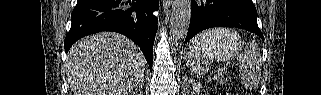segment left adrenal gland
Segmentation results:
<instances>
[{
    "label": "left adrenal gland",
    "mask_w": 321,
    "mask_h": 95,
    "mask_svg": "<svg viewBox=\"0 0 321 95\" xmlns=\"http://www.w3.org/2000/svg\"><path fill=\"white\" fill-rule=\"evenodd\" d=\"M183 88H184V90L187 89V80L186 79H184V81H183Z\"/></svg>",
    "instance_id": "left-adrenal-gland-1"
}]
</instances>
